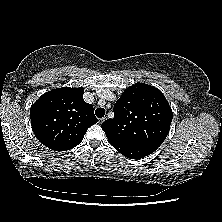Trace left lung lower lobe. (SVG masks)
Segmentation results:
<instances>
[{"mask_svg": "<svg viewBox=\"0 0 222 222\" xmlns=\"http://www.w3.org/2000/svg\"><path fill=\"white\" fill-rule=\"evenodd\" d=\"M112 146L121 154L131 159H140L145 156H148L149 154L155 151L151 148L141 147V146H131V147L130 146H117V145H112Z\"/></svg>", "mask_w": 222, "mask_h": 222, "instance_id": "0a47b994", "label": "left lung lower lobe"}]
</instances>
